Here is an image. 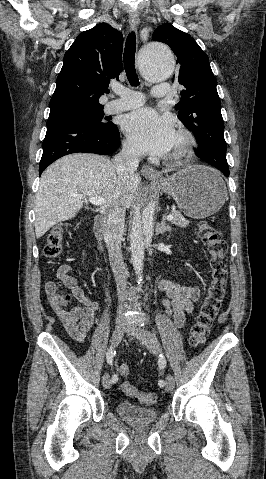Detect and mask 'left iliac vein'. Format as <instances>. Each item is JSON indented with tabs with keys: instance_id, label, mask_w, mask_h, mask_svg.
Wrapping results in <instances>:
<instances>
[{
	"instance_id": "left-iliac-vein-1",
	"label": "left iliac vein",
	"mask_w": 266,
	"mask_h": 479,
	"mask_svg": "<svg viewBox=\"0 0 266 479\" xmlns=\"http://www.w3.org/2000/svg\"><path fill=\"white\" fill-rule=\"evenodd\" d=\"M126 332L137 339L141 340L144 342L146 345L147 349L153 353V354H159L161 353V345L158 341V339L155 337L154 334H152L150 331L137 327V326H128L126 328ZM175 385L174 378L172 375H168L166 377L165 381V390L170 392L173 390Z\"/></svg>"
}]
</instances>
